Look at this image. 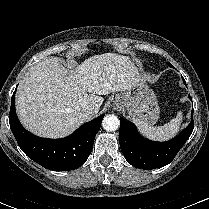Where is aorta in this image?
<instances>
[{
	"label": "aorta",
	"mask_w": 209,
	"mask_h": 209,
	"mask_svg": "<svg viewBox=\"0 0 209 209\" xmlns=\"http://www.w3.org/2000/svg\"><path fill=\"white\" fill-rule=\"evenodd\" d=\"M119 125H120V121L118 117L113 114L106 115L103 118L102 126L108 132L116 131L119 128Z\"/></svg>",
	"instance_id": "762f6f07"
}]
</instances>
